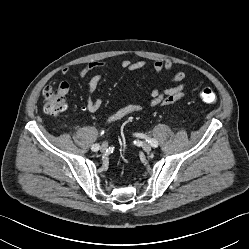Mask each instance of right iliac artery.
<instances>
[{"label": "right iliac artery", "instance_id": "obj_1", "mask_svg": "<svg viewBox=\"0 0 249 249\" xmlns=\"http://www.w3.org/2000/svg\"><path fill=\"white\" fill-rule=\"evenodd\" d=\"M99 147H100L99 144H94V145L92 146L91 149H92L93 151H98V150H99Z\"/></svg>", "mask_w": 249, "mask_h": 249}]
</instances>
